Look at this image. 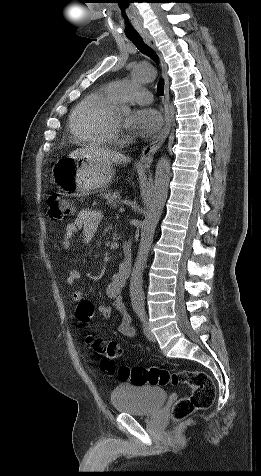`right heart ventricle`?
<instances>
[{
	"instance_id": "1",
	"label": "right heart ventricle",
	"mask_w": 261,
	"mask_h": 476,
	"mask_svg": "<svg viewBox=\"0 0 261 476\" xmlns=\"http://www.w3.org/2000/svg\"><path fill=\"white\" fill-rule=\"evenodd\" d=\"M117 103L105 89L87 94L73 109L69 128L76 143L108 145L116 137L111 110Z\"/></svg>"
}]
</instances>
